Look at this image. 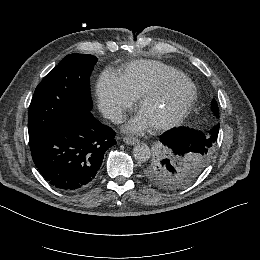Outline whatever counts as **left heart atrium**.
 <instances>
[{
  "instance_id": "1",
  "label": "left heart atrium",
  "mask_w": 260,
  "mask_h": 260,
  "mask_svg": "<svg viewBox=\"0 0 260 260\" xmlns=\"http://www.w3.org/2000/svg\"><path fill=\"white\" fill-rule=\"evenodd\" d=\"M149 127L150 121L143 112H140L128 121L125 126V130L131 133H141Z\"/></svg>"
}]
</instances>
